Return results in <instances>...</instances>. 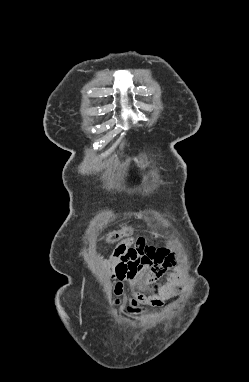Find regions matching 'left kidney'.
I'll list each match as a JSON object with an SVG mask.
<instances>
[{
  "label": "left kidney",
  "mask_w": 249,
  "mask_h": 382,
  "mask_svg": "<svg viewBox=\"0 0 249 382\" xmlns=\"http://www.w3.org/2000/svg\"><path fill=\"white\" fill-rule=\"evenodd\" d=\"M182 294L179 292H177L176 294H172L171 295V300L172 301H179L180 300V296H181Z\"/></svg>",
  "instance_id": "obj_1"
}]
</instances>
